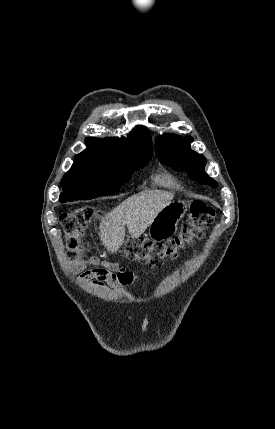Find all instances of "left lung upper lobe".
<instances>
[{"mask_svg":"<svg viewBox=\"0 0 275 429\" xmlns=\"http://www.w3.org/2000/svg\"><path fill=\"white\" fill-rule=\"evenodd\" d=\"M192 141L191 136L181 138L174 134H164L156 139V153L162 163L175 171L185 170L192 180L216 187V181L204 171L205 157L190 149Z\"/></svg>","mask_w":275,"mask_h":429,"instance_id":"5c2ea615","label":"left lung upper lobe"}]
</instances>
